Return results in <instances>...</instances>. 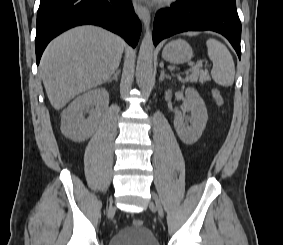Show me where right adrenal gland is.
<instances>
[{
	"instance_id": "obj_1",
	"label": "right adrenal gland",
	"mask_w": 283,
	"mask_h": 245,
	"mask_svg": "<svg viewBox=\"0 0 283 245\" xmlns=\"http://www.w3.org/2000/svg\"><path fill=\"white\" fill-rule=\"evenodd\" d=\"M120 75V70H117L114 74L113 77L108 79V83L112 82L113 80H115L116 82L118 81V76Z\"/></svg>"
}]
</instances>
